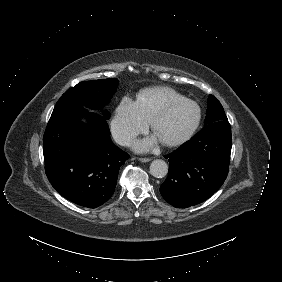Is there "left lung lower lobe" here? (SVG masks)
Returning a JSON list of instances; mask_svg holds the SVG:
<instances>
[{"instance_id":"0a47b994","label":"left lung lower lobe","mask_w":282,"mask_h":282,"mask_svg":"<svg viewBox=\"0 0 282 282\" xmlns=\"http://www.w3.org/2000/svg\"><path fill=\"white\" fill-rule=\"evenodd\" d=\"M231 153L227 120L207 124L189 141L166 155L170 169L160 187L162 197L177 208L197 205L224 183Z\"/></svg>"}]
</instances>
